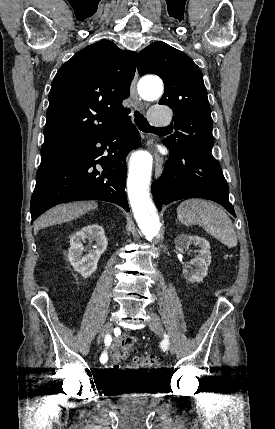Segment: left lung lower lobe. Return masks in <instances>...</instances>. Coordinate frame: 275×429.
<instances>
[{"label":"left lung lower lobe","instance_id":"0a47b994","mask_svg":"<svg viewBox=\"0 0 275 429\" xmlns=\"http://www.w3.org/2000/svg\"><path fill=\"white\" fill-rule=\"evenodd\" d=\"M161 177L151 188L155 204L162 205L183 198H204L221 204L236 217L229 202V187L219 162L211 152L189 149L175 152L171 149Z\"/></svg>","mask_w":275,"mask_h":429}]
</instances>
